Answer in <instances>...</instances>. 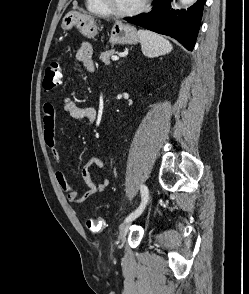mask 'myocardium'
I'll return each mask as SVG.
<instances>
[{"instance_id": "myocardium-1", "label": "myocardium", "mask_w": 249, "mask_h": 294, "mask_svg": "<svg viewBox=\"0 0 249 294\" xmlns=\"http://www.w3.org/2000/svg\"><path fill=\"white\" fill-rule=\"evenodd\" d=\"M149 1L150 0H142V2L137 7L130 10H126V11H120V10L114 9L110 5L108 0H100V3L107 11V15L123 18V17L135 16L142 13L148 7Z\"/></svg>"}]
</instances>
